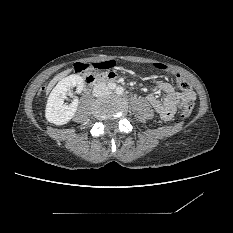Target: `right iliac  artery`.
<instances>
[{
    "instance_id": "82829eb1",
    "label": "right iliac artery",
    "mask_w": 233,
    "mask_h": 233,
    "mask_svg": "<svg viewBox=\"0 0 233 233\" xmlns=\"http://www.w3.org/2000/svg\"><path fill=\"white\" fill-rule=\"evenodd\" d=\"M108 88H109L110 90H114V89L116 88V84H115V83H109V84H108Z\"/></svg>"
}]
</instances>
